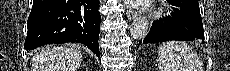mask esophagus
I'll use <instances>...</instances> for the list:
<instances>
[{
  "mask_svg": "<svg viewBox=\"0 0 230 71\" xmlns=\"http://www.w3.org/2000/svg\"><path fill=\"white\" fill-rule=\"evenodd\" d=\"M126 14H127V18H128L129 20H133V19H135L136 16H137V13H136V12L134 11V9L131 8L130 6H127V12H126Z\"/></svg>",
  "mask_w": 230,
  "mask_h": 71,
  "instance_id": "obj_1",
  "label": "esophagus"
}]
</instances>
